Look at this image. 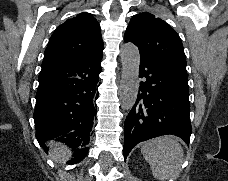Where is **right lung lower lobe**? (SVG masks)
Instances as JSON below:
<instances>
[{"label":"right lung lower lobe","mask_w":228,"mask_h":181,"mask_svg":"<svg viewBox=\"0 0 228 181\" xmlns=\"http://www.w3.org/2000/svg\"><path fill=\"white\" fill-rule=\"evenodd\" d=\"M101 59L97 54L41 70L34 120L36 138L46 152L44 142L55 138L72 147L78 160L88 154Z\"/></svg>","instance_id":"98d812e1"}]
</instances>
